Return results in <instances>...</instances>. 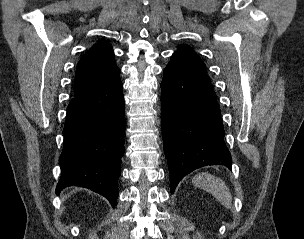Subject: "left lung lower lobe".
Instances as JSON below:
<instances>
[{
    "label": "left lung lower lobe",
    "mask_w": 304,
    "mask_h": 239,
    "mask_svg": "<svg viewBox=\"0 0 304 239\" xmlns=\"http://www.w3.org/2000/svg\"><path fill=\"white\" fill-rule=\"evenodd\" d=\"M161 82V123L171 192L181 179L206 165L231 168L221 110L205 71L173 54Z\"/></svg>",
    "instance_id": "1"
}]
</instances>
